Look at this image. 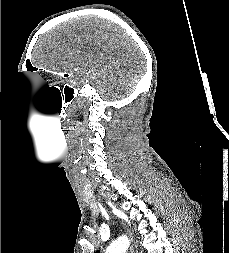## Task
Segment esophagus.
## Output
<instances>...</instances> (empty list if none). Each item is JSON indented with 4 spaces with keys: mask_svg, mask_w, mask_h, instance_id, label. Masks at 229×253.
Instances as JSON below:
<instances>
[{
    "mask_svg": "<svg viewBox=\"0 0 229 253\" xmlns=\"http://www.w3.org/2000/svg\"><path fill=\"white\" fill-rule=\"evenodd\" d=\"M130 253H137L136 246H135L134 243H132L131 246H130Z\"/></svg>",
    "mask_w": 229,
    "mask_h": 253,
    "instance_id": "34e87169",
    "label": "esophagus"
}]
</instances>
